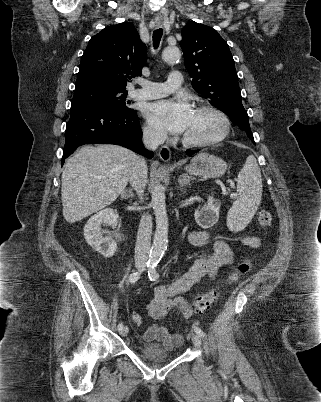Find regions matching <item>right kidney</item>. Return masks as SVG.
I'll use <instances>...</instances> for the list:
<instances>
[{"instance_id": "right-kidney-1", "label": "right kidney", "mask_w": 321, "mask_h": 402, "mask_svg": "<svg viewBox=\"0 0 321 402\" xmlns=\"http://www.w3.org/2000/svg\"><path fill=\"white\" fill-rule=\"evenodd\" d=\"M108 223L113 228L118 225L114 210L106 208L93 215L84 227V237L87 243L104 257H112L117 249L112 237H103L101 225Z\"/></svg>"}]
</instances>
